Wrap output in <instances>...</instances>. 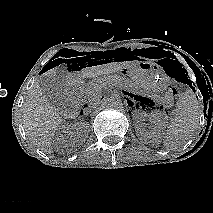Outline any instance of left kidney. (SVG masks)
<instances>
[{
  "label": "left kidney",
  "mask_w": 213,
  "mask_h": 213,
  "mask_svg": "<svg viewBox=\"0 0 213 213\" xmlns=\"http://www.w3.org/2000/svg\"><path fill=\"white\" fill-rule=\"evenodd\" d=\"M133 117L137 135L142 140H149L152 138L158 139L165 128V118L158 112H152L148 115L143 111H137L133 114ZM147 118L154 124L152 130L145 129V120Z\"/></svg>",
  "instance_id": "5707ae66"
}]
</instances>
